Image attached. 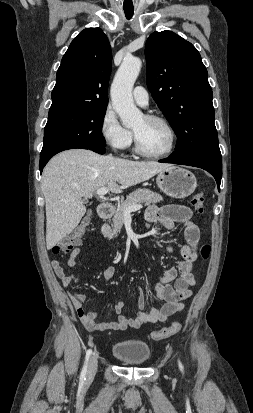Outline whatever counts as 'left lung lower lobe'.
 Segmentation results:
<instances>
[{
    "instance_id": "left-lung-lower-lobe-1",
    "label": "left lung lower lobe",
    "mask_w": 253,
    "mask_h": 413,
    "mask_svg": "<svg viewBox=\"0 0 253 413\" xmlns=\"http://www.w3.org/2000/svg\"><path fill=\"white\" fill-rule=\"evenodd\" d=\"M159 162L174 163L202 168L211 173L220 190L222 178V156L215 155H195L185 157L170 156L169 158L161 159Z\"/></svg>"
}]
</instances>
